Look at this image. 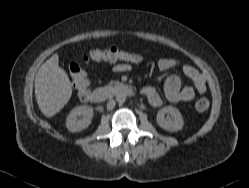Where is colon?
Segmentation results:
<instances>
[{
	"instance_id": "obj_1",
	"label": "colon",
	"mask_w": 249,
	"mask_h": 188,
	"mask_svg": "<svg viewBox=\"0 0 249 188\" xmlns=\"http://www.w3.org/2000/svg\"><path fill=\"white\" fill-rule=\"evenodd\" d=\"M131 56L126 51H121L116 47H111L106 50H94L89 54L82 56L79 61H72L69 65L71 82L77 95L83 99H87L89 93V81L86 73L83 69V65H87L91 62L109 61L115 62L119 60H129ZM196 109L199 112H204L209 107V101L207 98H200L196 102Z\"/></svg>"
}]
</instances>
